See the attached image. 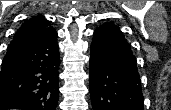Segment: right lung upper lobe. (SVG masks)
I'll use <instances>...</instances> for the list:
<instances>
[{"instance_id": "obj_1", "label": "right lung upper lobe", "mask_w": 171, "mask_h": 110, "mask_svg": "<svg viewBox=\"0 0 171 110\" xmlns=\"http://www.w3.org/2000/svg\"><path fill=\"white\" fill-rule=\"evenodd\" d=\"M54 32L55 29L42 15L26 20L9 44L5 57H15L20 51L46 40Z\"/></svg>"}]
</instances>
